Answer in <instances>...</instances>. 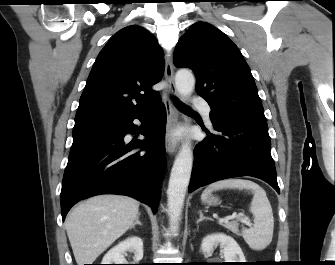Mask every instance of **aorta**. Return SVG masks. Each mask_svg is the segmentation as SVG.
<instances>
[{
	"instance_id": "1",
	"label": "aorta",
	"mask_w": 335,
	"mask_h": 265,
	"mask_svg": "<svg viewBox=\"0 0 335 265\" xmlns=\"http://www.w3.org/2000/svg\"><path fill=\"white\" fill-rule=\"evenodd\" d=\"M175 85L182 97L189 96L195 87L194 75L189 70H179L175 76ZM192 167L193 152L191 142L189 139H186L175 158L167 190L169 221L170 227L174 232L179 227Z\"/></svg>"
}]
</instances>
